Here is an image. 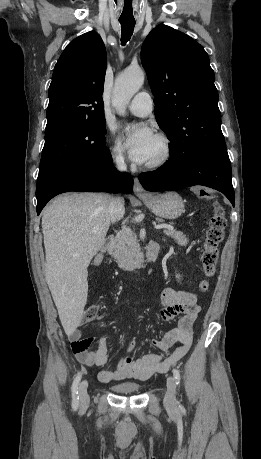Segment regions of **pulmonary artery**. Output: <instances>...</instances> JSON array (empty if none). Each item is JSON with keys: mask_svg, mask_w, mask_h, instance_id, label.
Wrapping results in <instances>:
<instances>
[{"mask_svg": "<svg viewBox=\"0 0 261 459\" xmlns=\"http://www.w3.org/2000/svg\"><path fill=\"white\" fill-rule=\"evenodd\" d=\"M127 108L132 114L144 117L152 112L153 101L148 92H139L128 104Z\"/></svg>", "mask_w": 261, "mask_h": 459, "instance_id": "pulmonary-artery-1", "label": "pulmonary artery"}]
</instances>
